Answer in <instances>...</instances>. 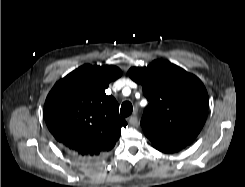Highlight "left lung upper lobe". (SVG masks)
Instances as JSON below:
<instances>
[{"label":"left lung upper lobe","mask_w":245,"mask_h":187,"mask_svg":"<svg viewBox=\"0 0 245 187\" xmlns=\"http://www.w3.org/2000/svg\"><path fill=\"white\" fill-rule=\"evenodd\" d=\"M130 78L149 100L141 126L152 145H189L201 131L208 113V94L199 78L162 60L133 67Z\"/></svg>","instance_id":"left-lung-upper-lobe-1"}]
</instances>
